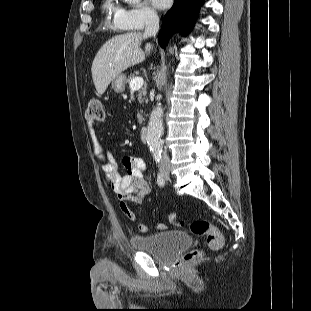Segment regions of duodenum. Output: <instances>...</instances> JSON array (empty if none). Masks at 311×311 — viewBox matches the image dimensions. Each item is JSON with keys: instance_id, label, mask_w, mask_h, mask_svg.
<instances>
[{"instance_id": "obj_1", "label": "duodenum", "mask_w": 311, "mask_h": 311, "mask_svg": "<svg viewBox=\"0 0 311 311\" xmlns=\"http://www.w3.org/2000/svg\"><path fill=\"white\" fill-rule=\"evenodd\" d=\"M139 134H140V138H141L142 142H147L148 128L146 126H143L140 128Z\"/></svg>"}]
</instances>
